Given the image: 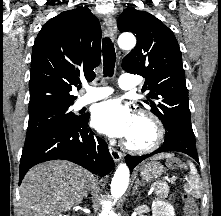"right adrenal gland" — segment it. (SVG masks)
Segmentation results:
<instances>
[{
	"instance_id": "right-adrenal-gland-1",
	"label": "right adrenal gland",
	"mask_w": 221,
	"mask_h": 216,
	"mask_svg": "<svg viewBox=\"0 0 221 216\" xmlns=\"http://www.w3.org/2000/svg\"><path fill=\"white\" fill-rule=\"evenodd\" d=\"M89 190H90L89 187H87V188H86V191H85V194H84V197H85V198H87V196H88V191H89Z\"/></svg>"
}]
</instances>
